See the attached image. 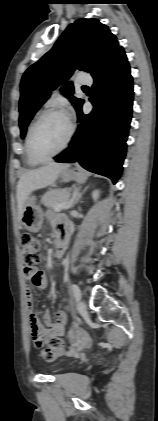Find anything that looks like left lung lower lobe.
<instances>
[{"mask_svg": "<svg viewBox=\"0 0 158 421\" xmlns=\"http://www.w3.org/2000/svg\"><path fill=\"white\" fill-rule=\"evenodd\" d=\"M94 109L78 114V129L56 162H79L85 169L116 183L122 171L133 104V81L124 49L120 46L94 75ZM82 107V106H81Z\"/></svg>", "mask_w": 158, "mask_h": 421, "instance_id": "obj_1", "label": "left lung lower lobe"}]
</instances>
